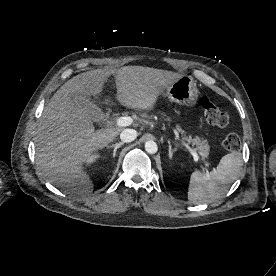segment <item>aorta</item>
<instances>
[{
    "instance_id": "obj_1",
    "label": "aorta",
    "mask_w": 276,
    "mask_h": 276,
    "mask_svg": "<svg viewBox=\"0 0 276 276\" xmlns=\"http://www.w3.org/2000/svg\"><path fill=\"white\" fill-rule=\"evenodd\" d=\"M145 150L149 154H155L158 150V146L155 141L150 140L145 143Z\"/></svg>"
}]
</instances>
